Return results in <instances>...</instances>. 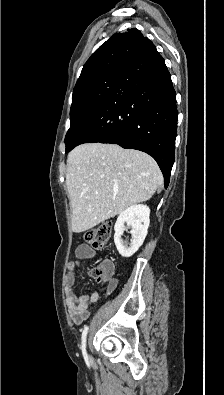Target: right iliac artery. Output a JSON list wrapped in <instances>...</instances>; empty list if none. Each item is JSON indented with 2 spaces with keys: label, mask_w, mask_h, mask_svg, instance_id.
Segmentation results:
<instances>
[{
  "label": "right iliac artery",
  "mask_w": 224,
  "mask_h": 395,
  "mask_svg": "<svg viewBox=\"0 0 224 395\" xmlns=\"http://www.w3.org/2000/svg\"><path fill=\"white\" fill-rule=\"evenodd\" d=\"M87 333H88V326H85L84 330L82 332V336H81L82 352H83V356H84L85 359L88 358L87 352H86V337H87Z\"/></svg>",
  "instance_id": "82829eb1"
}]
</instances>
